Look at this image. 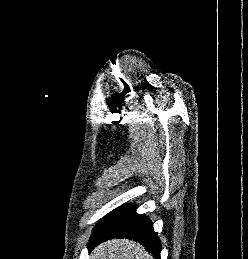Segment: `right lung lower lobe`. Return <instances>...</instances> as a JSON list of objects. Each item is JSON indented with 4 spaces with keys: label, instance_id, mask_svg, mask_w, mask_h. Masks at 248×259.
Wrapping results in <instances>:
<instances>
[{
    "label": "right lung lower lobe",
    "instance_id": "98d812e1",
    "mask_svg": "<svg viewBox=\"0 0 248 259\" xmlns=\"http://www.w3.org/2000/svg\"><path fill=\"white\" fill-rule=\"evenodd\" d=\"M112 238L133 239L160 259L161 244L151 221L145 215L136 214L135 207L130 204L113 210L99 223L90 238L89 251Z\"/></svg>",
    "mask_w": 248,
    "mask_h": 259
}]
</instances>
